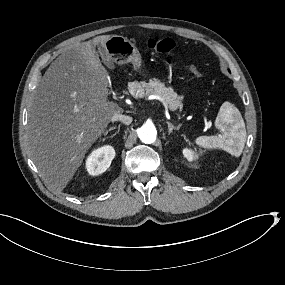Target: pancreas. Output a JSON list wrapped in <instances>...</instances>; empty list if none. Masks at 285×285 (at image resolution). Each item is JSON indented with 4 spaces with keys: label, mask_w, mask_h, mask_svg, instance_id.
Instances as JSON below:
<instances>
[{
    "label": "pancreas",
    "mask_w": 285,
    "mask_h": 285,
    "mask_svg": "<svg viewBox=\"0 0 285 285\" xmlns=\"http://www.w3.org/2000/svg\"><path fill=\"white\" fill-rule=\"evenodd\" d=\"M130 93L135 98H143L159 93L170 110L175 111L177 109L181 110L183 108V96H178L177 93H175L170 88H166L164 84L157 79L150 80L148 83L145 81H135L133 88L130 90Z\"/></svg>",
    "instance_id": "obj_1"
}]
</instances>
